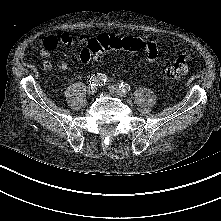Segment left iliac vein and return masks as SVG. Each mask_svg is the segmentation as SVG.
<instances>
[{
    "instance_id": "1",
    "label": "left iliac vein",
    "mask_w": 221,
    "mask_h": 221,
    "mask_svg": "<svg viewBox=\"0 0 221 221\" xmlns=\"http://www.w3.org/2000/svg\"><path fill=\"white\" fill-rule=\"evenodd\" d=\"M108 89L112 94L118 95L120 97H126V92H123V90L117 85H111L108 87Z\"/></svg>"
}]
</instances>
